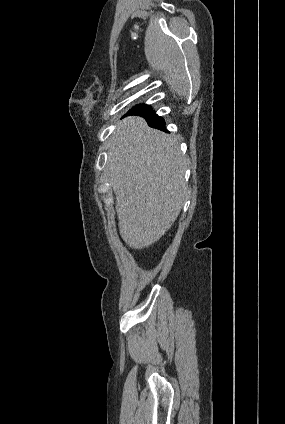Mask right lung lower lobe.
I'll list each match as a JSON object with an SVG mask.
<instances>
[{
    "label": "right lung lower lobe",
    "mask_w": 285,
    "mask_h": 424,
    "mask_svg": "<svg viewBox=\"0 0 285 424\" xmlns=\"http://www.w3.org/2000/svg\"><path fill=\"white\" fill-rule=\"evenodd\" d=\"M126 115H140L146 119L149 126L166 131L163 118L159 117L149 105H136Z\"/></svg>",
    "instance_id": "1"
}]
</instances>
